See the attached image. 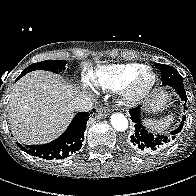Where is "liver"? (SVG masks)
<instances>
[{
    "mask_svg": "<svg viewBox=\"0 0 196 196\" xmlns=\"http://www.w3.org/2000/svg\"><path fill=\"white\" fill-rule=\"evenodd\" d=\"M74 86L48 71H33L12 88L8 118L13 135L24 144H44L58 137L74 116Z\"/></svg>",
    "mask_w": 196,
    "mask_h": 196,
    "instance_id": "1",
    "label": "liver"
}]
</instances>
